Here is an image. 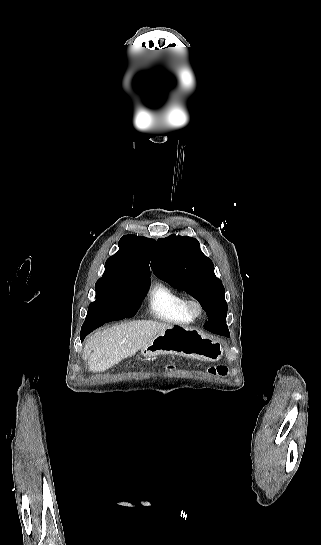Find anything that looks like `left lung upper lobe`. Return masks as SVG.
Segmentation results:
<instances>
[{
	"label": "left lung upper lobe",
	"instance_id": "left-lung-upper-lobe-1",
	"mask_svg": "<svg viewBox=\"0 0 321 545\" xmlns=\"http://www.w3.org/2000/svg\"><path fill=\"white\" fill-rule=\"evenodd\" d=\"M151 267L158 278L192 295L206 312L218 310L227 316L225 289L197 239L175 234L159 238Z\"/></svg>",
	"mask_w": 321,
	"mask_h": 545
}]
</instances>
